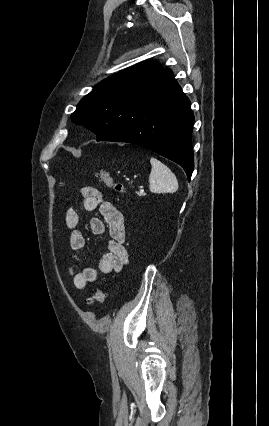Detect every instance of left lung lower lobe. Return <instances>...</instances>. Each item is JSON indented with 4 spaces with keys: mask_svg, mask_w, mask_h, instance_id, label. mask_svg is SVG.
I'll use <instances>...</instances> for the list:
<instances>
[{
    "mask_svg": "<svg viewBox=\"0 0 269 426\" xmlns=\"http://www.w3.org/2000/svg\"><path fill=\"white\" fill-rule=\"evenodd\" d=\"M193 122L189 99L172 71L165 68L132 96L113 134L103 141L133 143L152 150L179 164L190 181Z\"/></svg>",
    "mask_w": 269,
    "mask_h": 426,
    "instance_id": "obj_1",
    "label": "left lung lower lobe"
}]
</instances>
